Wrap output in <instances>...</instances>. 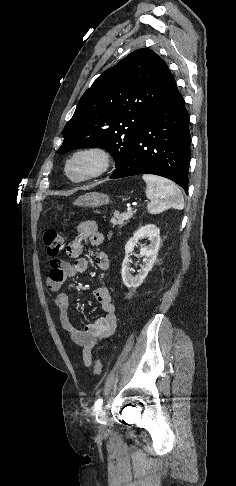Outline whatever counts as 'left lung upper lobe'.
I'll return each mask as SVG.
<instances>
[{"instance_id": "5c2ea615", "label": "left lung upper lobe", "mask_w": 236, "mask_h": 486, "mask_svg": "<svg viewBox=\"0 0 236 486\" xmlns=\"http://www.w3.org/2000/svg\"><path fill=\"white\" fill-rule=\"evenodd\" d=\"M177 87L166 62L136 50L102 73L82 95L58 153L107 148L118 166L133 140Z\"/></svg>"}]
</instances>
